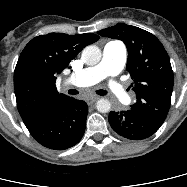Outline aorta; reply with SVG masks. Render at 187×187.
<instances>
[{
  "label": "aorta",
  "instance_id": "1",
  "mask_svg": "<svg viewBox=\"0 0 187 187\" xmlns=\"http://www.w3.org/2000/svg\"><path fill=\"white\" fill-rule=\"evenodd\" d=\"M101 57V50L95 45H89L82 51V60L87 65H96L100 62ZM96 108L100 113H107L111 109V103L109 100L101 98L97 101Z\"/></svg>",
  "mask_w": 187,
  "mask_h": 187
}]
</instances>
